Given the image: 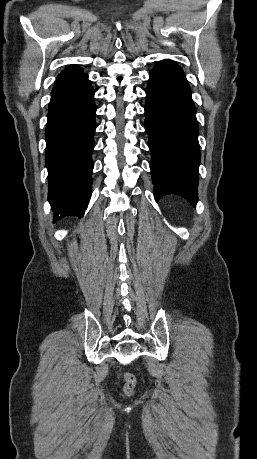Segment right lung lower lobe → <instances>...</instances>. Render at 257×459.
<instances>
[{"instance_id":"1","label":"right lung lower lobe","mask_w":257,"mask_h":459,"mask_svg":"<svg viewBox=\"0 0 257 459\" xmlns=\"http://www.w3.org/2000/svg\"><path fill=\"white\" fill-rule=\"evenodd\" d=\"M94 90L87 74L57 79L48 108L46 166L54 221L82 217L91 194Z\"/></svg>"}]
</instances>
